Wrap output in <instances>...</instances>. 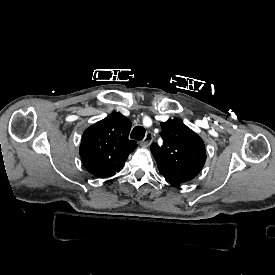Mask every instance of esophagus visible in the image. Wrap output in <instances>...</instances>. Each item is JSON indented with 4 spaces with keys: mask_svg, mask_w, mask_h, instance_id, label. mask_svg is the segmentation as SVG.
Instances as JSON below:
<instances>
[{
    "mask_svg": "<svg viewBox=\"0 0 275 275\" xmlns=\"http://www.w3.org/2000/svg\"><path fill=\"white\" fill-rule=\"evenodd\" d=\"M153 140V134L151 132H148L145 135V138L141 141L140 145L144 148L148 147Z\"/></svg>",
    "mask_w": 275,
    "mask_h": 275,
    "instance_id": "obj_1",
    "label": "esophagus"
}]
</instances>
